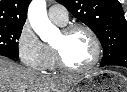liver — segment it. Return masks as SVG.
<instances>
[{
  "label": "liver",
  "instance_id": "6515ba94",
  "mask_svg": "<svg viewBox=\"0 0 127 92\" xmlns=\"http://www.w3.org/2000/svg\"><path fill=\"white\" fill-rule=\"evenodd\" d=\"M79 79L42 75L0 56V92H69Z\"/></svg>",
  "mask_w": 127,
  "mask_h": 92
}]
</instances>
